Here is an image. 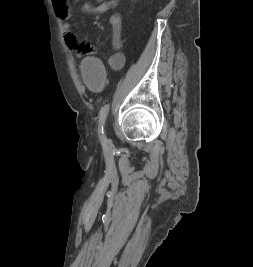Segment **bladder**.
I'll use <instances>...</instances> for the list:
<instances>
[{
    "label": "bladder",
    "instance_id": "31cf9c89",
    "mask_svg": "<svg viewBox=\"0 0 253 267\" xmlns=\"http://www.w3.org/2000/svg\"><path fill=\"white\" fill-rule=\"evenodd\" d=\"M81 76L90 90H99L103 84L101 60L95 57H86L81 64Z\"/></svg>",
    "mask_w": 253,
    "mask_h": 267
}]
</instances>
